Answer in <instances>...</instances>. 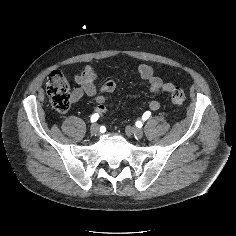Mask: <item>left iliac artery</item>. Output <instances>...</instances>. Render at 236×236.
I'll list each match as a JSON object with an SVG mask.
<instances>
[{
	"label": "left iliac artery",
	"mask_w": 236,
	"mask_h": 236,
	"mask_svg": "<svg viewBox=\"0 0 236 236\" xmlns=\"http://www.w3.org/2000/svg\"><path fill=\"white\" fill-rule=\"evenodd\" d=\"M151 113L149 111H146L143 116H142V119L143 120H147L149 117H150Z\"/></svg>",
	"instance_id": "1"
}]
</instances>
